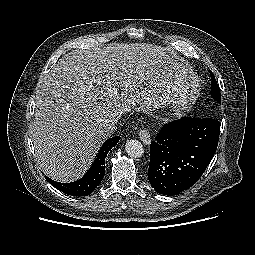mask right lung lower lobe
<instances>
[{
    "label": "right lung lower lobe",
    "mask_w": 255,
    "mask_h": 255,
    "mask_svg": "<svg viewBox=\"0 0 255 255\" xmlns=\"http://www.w3.org/2000/svg\"><path fill=\"white\" fill-rule=\"evenodd\" d=\"M120 139L119 136H115L106 140L93 165L81 179L72 183H58L46 176V180L60 191L72 196H86L91 194L105 175V157Z\"/></svg>",
    "instance_id": "right-lung-lower-lobe-1"
}]
</instances>
